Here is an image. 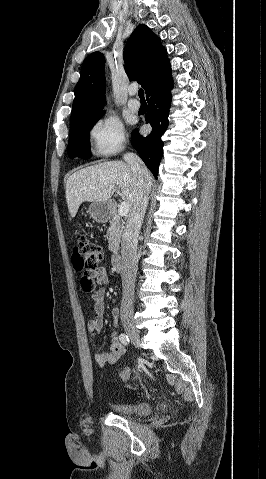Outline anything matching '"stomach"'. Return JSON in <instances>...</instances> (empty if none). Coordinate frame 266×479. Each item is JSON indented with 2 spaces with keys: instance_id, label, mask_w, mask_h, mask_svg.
<instances>
[{
  "instance_id": "1",
  "label": "stomach",
  "mask_w": 266,
  "mask_h": 479,
  "mask_svg": "<svg viewBox=\"0 0 266 479\" xmlns=\"http://www.w3.org/2000/svg\"><path fill=\"white\" fill-rule=\"evenodd\" d=\"M111 205L109 202H92L89 206L90 217L97 222H105L110 217Z\"/></svg>"
}]
</instances>
